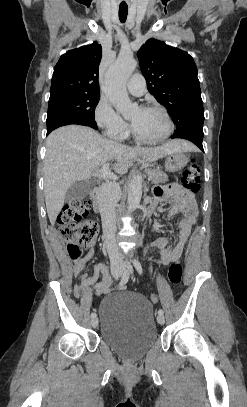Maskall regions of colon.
<instances>
[{"label": "colon", "instance_id": "obj_1", "mask_svg": "<svg viewBox=\"0 0 247 407\" xmlns=\"http://www.w3.org/2000/svg\"><path fill=\"white\" fill-rule=\"evenodd\" d=\"M181 184L185 190L196 194L200 191V168L192 159L188 168L183 172ZM89 203L83 198L76 197L68 202L57 217V226L67 244L71 258L76 259L82 253V248H91L98 236V225L87 219ZM167 280L170 284L179 285L182 281V267L179 262L170 263L167 270ZM152 303L158 302V296L150 297Z\"/></svg>", "mask_w": 247, "mask_h": 407}]
</instances>
